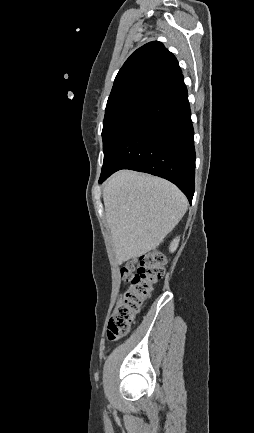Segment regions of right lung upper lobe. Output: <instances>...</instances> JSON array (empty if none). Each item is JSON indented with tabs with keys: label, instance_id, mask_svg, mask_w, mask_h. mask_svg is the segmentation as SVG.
Returning <instances> with one entry per match:
<instances>
[{
	"label": "right lung upper lobe",
	"instance_id": "1",
	"mask_svg": "<svg viewBox=\"0 0 254 433\" xmlns=\"http://www.w3.org/2000/svg\"><path fill=\"white\" fill-rule=\"evenodd\" d=\"M181 74L175 56L161 42H149L119 70L106 107L129 100L147 101Z\"/></svg>",
	"mask_w": 254,
	"mask_h": 433
}]
</instances>
